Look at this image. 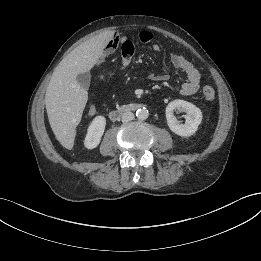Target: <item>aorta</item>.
<instances>
[{
  "label": "aorta",
  "mask_w": 261,
  "mask_h": 261,
  "mask_svg": "<svg viewBox=\"0 0 261 261\" xmlns=\"http://www.w3.org/2000/svg\"><path fill=\"white\" fill-rule=\"evenodd\" d=\"M136 116L139 120H145L149 116V112L146 108H140L136 111Z\"/></svg>",
  "instance_id": "762f6f07"
}]
</instances>
